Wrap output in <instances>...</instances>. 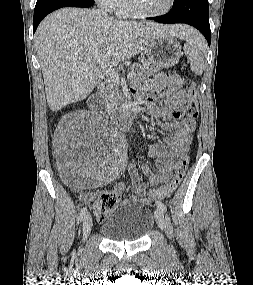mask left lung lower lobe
<instances>
[{
  "label": "left lung lower lobe",
  "mask_w": 253,
  "mask_h": 285,
  "mask_svg": "<svg viewBox=\"0 0 253 285\" xmlns=\"http://www.w3.org/2000/svg\"><path fill=\"white\" fill-rule=\"evenodd\" d=\"M148 19L160 23H186L192 25L205 36L210 46L211 30L208 0H176L170 13Z\"/></svg>",
  "instance_id": "left-lung-lower-lobe-1"
}]
</instances>
